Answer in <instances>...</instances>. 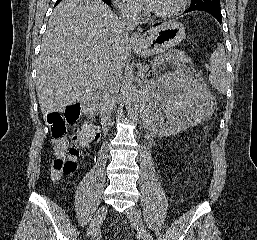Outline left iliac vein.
Returning <instances> with one entry per match:
<instances>
[{
	"label": "left iliac vein",
	"mask_w": 257,
	"mask_h": 240,
	"mask_svg": "<svg viewBox=\"0 0 257 240\" xmlns=\"http://www.w3.org/2000/svg\"><path fill=\"white\" fill-rule=\"evenodd\" d=\"M125 214H126L127 218L129 219V221L131 222V224L140 233L142 240H154L152 235L145 228L142 218L140 216V213L136 208H134V207L128 208L125 211Z\"/></svg>",
	"instance_id": "obj_1"
}]
</instances>
